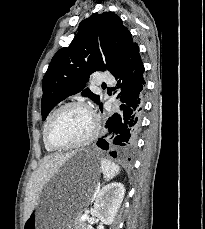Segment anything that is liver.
<instances>
[{"mask_svg":"<svg viewBox=\"0 0 205 229\" xmlns=\"http://www.w3.org/2000/svg\"><path fill=\"white\" fill-rule=\"evenodd\" d=\"M75 154L45 156L39 168L31 175L24 204V221L29 217L38 203L44 185L56 174L59 169Z\"/></svg>","mask_w":205,"mask_h":229,"instance_id":"1","label":"liver"}]
</instances>
